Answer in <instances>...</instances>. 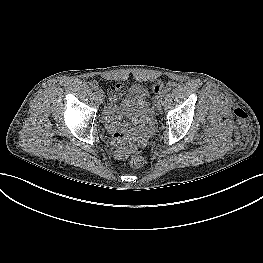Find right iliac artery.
<instances>
[{
    "label": "right iliac artery",
    "mask_w": 263,
    "mask_h": 263,
    "mask_svg": "<svg viewBox=\"0 0 263 263\" xmlns=\"http://www.w3.org/2000/svg\"><path fill=\"white\" fill-rule=\"evenodd\" d=\"M92 90H93V91H96V92H99L100 87H99V86H93V87H92Z\"/></svg>",
    "instance_id": "82829eb1"
}]
</instances>
